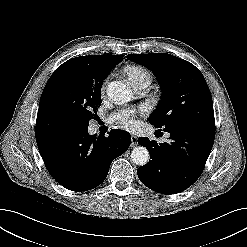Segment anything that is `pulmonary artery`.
Wrapping results in <instances>:
<instances>
[{"mask_svg":"<svg viewBox=\"0 0 247 247\" xmlns=\"http://www.w3.org/2000/svg\"><path fill=\"white\" fill-rule=\"evenodd\" d=\"M151 80L148 79V78H142V79H139L137 81H135L133 84H132V87L135 91L137 92H141L143 91L145 88H147L150 84Z\"/></svg>","mask_w":247,"mask_h":247,"instance_id":"e3ab8cb5","label":"pulmonary artery"}]
</instances>
